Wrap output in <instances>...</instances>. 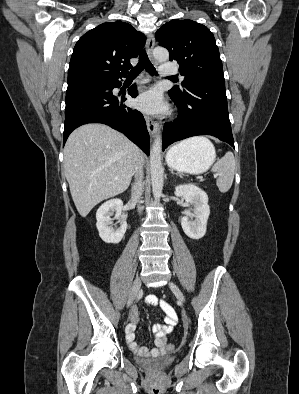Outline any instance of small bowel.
Instances as JSON below:
<instances>
[{
    "instance_id": "small-bowel-1",
    "label": "small bowel",
    "mask_w": 299,
    "mask_h": 394,
    "mask_svg": "<svg viewBox=\"0 0 299 394\" xmlns=\"http://www.w3.org/2000/svg\"><path fill=\"white\" fill-rule=\"evenodd\" d=\"M146 302L159 308L165 316L163 324H154L151 326V330L155 334V347L149 349L136 343L134 332L138 322V310L135 307L131 309L129 324L126 327V341L138 356L158 357L165 352L167 336L174 330L178 322V316L175 309L168 302L156 295H149L146 298Z\"/></svg>"
}]
</instances>
